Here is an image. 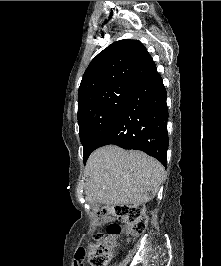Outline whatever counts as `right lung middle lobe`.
Returning <instances> with one entry per match:
<instances>
[{"label":"right lung middle lobe","mask_w":221,"mask_h":266,"mask_svg":"<svg viewBox=\"0 0 221 266\" xmlns=\"http://www.w3.org/2000/svg\"><path fill=\"white\" fill-rule=\"evenodd\" d=\"M136 88L132 85H118L99 89L78 102L77 116L84 163Z\"/></svg>","instance_id":"obj_1"}]
</instances>
